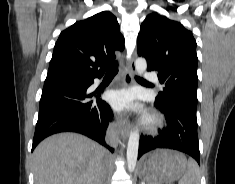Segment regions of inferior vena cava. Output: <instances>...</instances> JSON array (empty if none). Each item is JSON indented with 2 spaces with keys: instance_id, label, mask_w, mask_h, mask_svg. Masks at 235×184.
<instances>
[{
  "instance_id": "1",
  "label": "inferior vena cava",
  "mask_w": 235,
  "mask_h": 184,
  "mask_svg": "<svg viewBox=\"0 0 235 184\" xmlns=\"http://www.w3.org/2000/svg\"><path fill=\"white\" fill-rule=\"evenodd\" d=\"M118 130L117 126L115 124H109V128H107L105 140L109 146H112V148H116L118 144Z\"/></svg>"
}]
</instances>
